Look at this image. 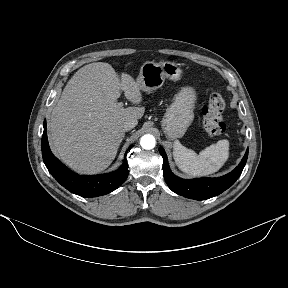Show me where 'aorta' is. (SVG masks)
Masks as SVG:
<instances>
[{
    "label": "aorta",
    "instance_id": "1",
    "mask_svg": "<svg viewBox=\"0 0 288 288\" xmlns=\"http://www.w3.org/2000/svg\"><path fill=\"white\" fill-rule=\"evenodd\" d=\"M156 140L153 135L146 134L141 137L140 145L143 149L150 150L155 147Z\"/></svg>",
    "mask_w": 288,
    "mask_h": 288
}]
</instances>
